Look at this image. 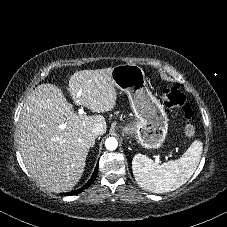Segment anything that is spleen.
Here are the masks:
<instances>
[{"label": "spleen", "instance_id": "1", "mask_svg": "<svg viewBox=\"0 0 227 227\" xmlns=\"http://www.w3.org/2000/svg\"><path fill=\"white\" fill-rule=\"evenodd\" d=\"M203 144L194 141L178 159L158 164L147 156L136 154L132 170L138 185L152 193H165L178 189L196 171L200 162Z\"/></svg>", "mask_w": 227, "mask_h": 227}]
</instances>
